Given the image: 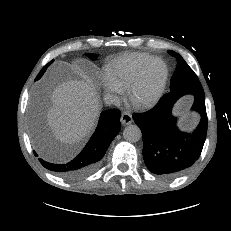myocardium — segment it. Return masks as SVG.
Wrapping results in <instances>:
<instances>
[{"instance_id": "obj_1", "label": "myocardium", "mask_w": 231, "mask_h": 231, "mask_svg": "<svg viewBox=\"0 0 231 231\" xmlns=\"http://www.w3.org/2000/svg\"><path fill=\"white\" fill-rule=\"evenodd\" d=\"M155 63L160 64L162 67V74H161V79L159 81V84H158L155 92L152 94V96H150L149 98L144 99V100H139L136 98V92H137L138 88L140 87V85L142 84V82L144 81L146 73L148 72L150 67ZM167 79H168V68H167L165 62L160 58H152L143 65V67L140 69V71L137 74V76L135 77V79L129 85L127 96L129 98V100L136 107H138L140 109L150 108V107L154 106L160 100V98L164 92V89H165V86L167 83Z\"/></svg>"}]
</instances>
